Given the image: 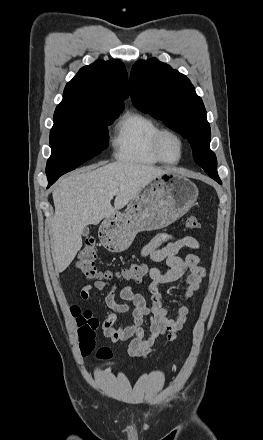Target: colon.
Listing matches in <instances>:
<instances>
[{
	"label": "colon",
	"instance_id": "colon-1",
	"mask_svg": "<svg viewBox=\"0 0 263 440\" xmlns=\"http://www.w3.org/2000/svg\"><path fill=\"white\" fill-rule=\"evenodd\" d=\"M188 229H200L199 220L190 216L186 219ZM97 246L93 238H87L82 247L77 262V268L87 279L109 278V274L100 271L96 265ZM148 273V267L142 263L132 264L122 269L118 276L129 282H140ZM72 314L78 327V338L80 353L83 357L90 355L95 348V337L98 330V321L92 317L88 311H81L74 307ZM100 360H108L111 357V351L107 347H101L97 352Z\"/></svg>",
	"mask_w": 263,
	"mask_h": 440
}]
</instances>
